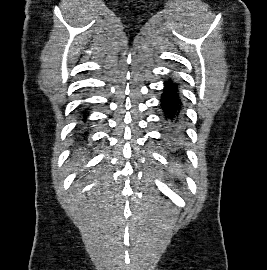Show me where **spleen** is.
Instances as JSON below:
<instances>
[{
    "instance_id": "3e777b00",
    "label": "spleen",
    "mask_w": 267,
    "mask_h": 270,
    "mask_svg": "<svg viewBox=\"0 0 267 270\" xmlns=\"http://www.w3.org/2000/svg\"><path fill=\"white\" fill-rule=\"evenodd\" d=\"M178 176H181V174L179 172H177Z\"/></svg>"
}]
</instances>
